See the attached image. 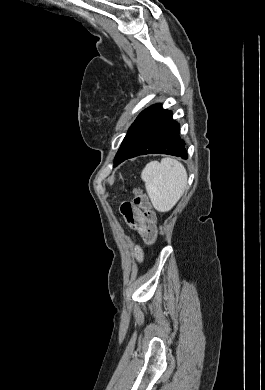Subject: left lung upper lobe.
Here are the masks:
<instances>
[{"mask_svg": "<svg viewBox=\"0 0 265 390\" xmlns=\"http://www.w3.org/2000/svg\"><path fill=\"white\" fill-rule=\"evenodd\" d=\"M134 122H135V121H134ZM133 125H134V123H133V124L131 125V127L129 128V130H128V132H127V135L125 136V138H124V140H123V142H122V144H121V146H120V148H119V150H118V152H117V154H116V156H115L114 164H115V162H116V160H117V158H118V156H119L120 151L123 149V147H124L125 144H126V141H127L128 137H129V135H130V133H131V130H132V128H133Z\"/></svg>", "mask_w": 265, "mask_h": 390, "instance_id": "obj_1", "label": "left lung upper lobe"}]
</instances>
